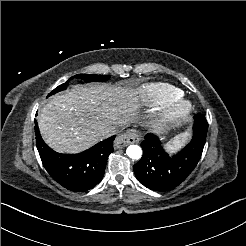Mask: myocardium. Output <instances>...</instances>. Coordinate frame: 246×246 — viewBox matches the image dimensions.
<instances>
[{"label": "myocardium", "instance_id": "f54148a6", "mask_svg": "<svg viewBox=\"0 0 246 246\" xmlns=\"http://www.w3.org/2000/svg\"><path fill=\"white\" fill-rule=\"evenodd\" d=\"M190 110V103L180 99L174 101L170 107L157 113L155 116V121L160 127H168L186 116Z\"/></svg>", "mask_w": 246, "mask_h": 246}]
</instances>
